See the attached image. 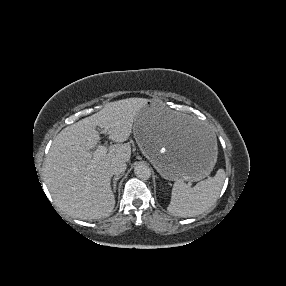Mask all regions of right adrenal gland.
I'll use <instances>...</instances> for the list:
<instances>
[{
    "instance_id": "1",
    "label": "right adrenal gland",
    "mask_w": 286,
    "mask_h": 286,
    "mask_svg": "<svg viewBox=\"0 0 286 286\" xmlns=\"http://www.w3.org/2000/svg\"><path fill=\"white\" fill-rule=\"evenodd\" d=\"M122 177V175H116L114 178H113V192H116V184H117V181Z\"/></svg>"
}]
</instances>
